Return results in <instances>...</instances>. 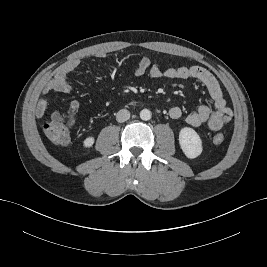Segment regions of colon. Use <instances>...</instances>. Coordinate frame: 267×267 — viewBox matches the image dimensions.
Listing matches in <instances>:
<instances>
[{
    "instance_id": "obj_1",
    "label": "colon",
    "mask_w": 267,
    "mask_h": 267,
    "mask_svg": "<svg viewBox=\"0 0 267 267\" xmlns=\"http://www.w3.org/2000/svg\"><path fill=\"white\" fill-rule=\"evenodd\" d=\"M73 123L74 117L72 115L56 112L45 122L43 129L53 143L64 145L70 140V128ZM223 140L224 136L220 133L213 137L214 144H221Z\"/></svg>"
}]
</instances>
